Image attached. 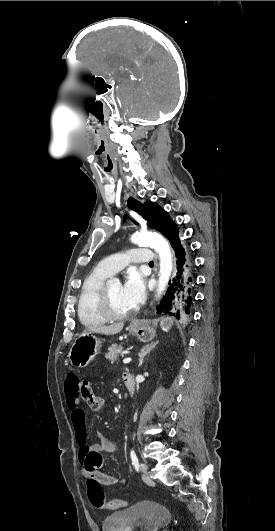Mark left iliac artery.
Here are the masks:
<instances>
[{
  "instance_id": "obj_1",
  "label": "left iliac artery",
  "mask_w": 275,
  "mask_h": 531,
  "mask_svg": "<svg viewBox=\"0 0 275 531\" xmlns=\"http://www.w3.org/2000/svg\"><path fill=\"white\" fill-rule=\"evenodd\" d=\"M130 456H131V460H132V464H133L134 468L136 469V471H139V460H138L134 450H131Z\"/></svg>"
}]
</instances>
